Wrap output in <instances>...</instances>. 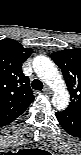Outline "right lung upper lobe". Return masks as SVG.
Returning <instances> with one entry per match:
<instances>
[{
  "mask_svg": "<svg viewBox=\"0 0 81 155\" xmlns=\"http://www.w3.org/2000/svg\"><path fill=\"white\" fill-rule=\"evenodd\" d=\"M31 53V49L14 40H4L1 44L0 122L3 126L19 117L34 99L29 78L21 70Z\"/></svg>",
  "mask_w": 81,
  "mask_h": 155,
  "instance_id": "right-lung-upper-lobe-1",
  "label": "right lung upper lobe"
}]
</instances>
